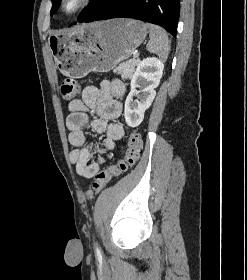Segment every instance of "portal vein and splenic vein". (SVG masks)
Listing matches in <instances>:
<instances>
[{
    "label": "portal vein and splenic vein",
    "instance_id": "portal-vein-and-splenic-vein-1",
    "mask_svg": "<svg viewBox=\"0 0 247 280\" xmlns=\"http://www.w3.org/2000/svg\"><path fill=\"white\" fill-rule=\"evenodd\" d=\"M139 55H138V53L136 52L135 54H134V58H137Z\"/></svg>",
    "mask_w": 247,
    "mask_h": 280
}]
</instances>
